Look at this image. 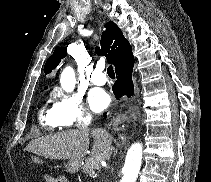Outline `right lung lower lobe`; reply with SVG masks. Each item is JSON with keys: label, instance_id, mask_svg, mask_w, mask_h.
Here are the masks:
<instances>
[{"label": "right lung lower lobe", "instance_id": "98d812e1", "mask_svg": "<svg viewBox=\"0 0 211 182\" xmlns=\"http://www.w3.org/2000/svg\"><path fill=\"white\" fill-rule=\"evenodd\" d=\"M134 65V57L129 43H127L123 54L115 64V71L117 80L112 87L114 95L117 99L127 96L130 97L134 94V86L131 78L132 68ZM106 117V113H104Z\"/></svg>", "mask_w": 211, "mask_h": 182}]
</instances>
